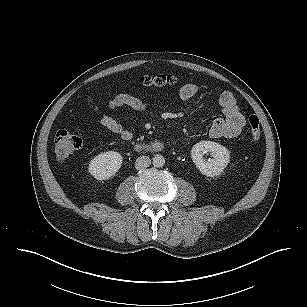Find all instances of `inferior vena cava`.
I'll return each instance as SVG.
<instances>
[{"mask_svg": "<svg viewBox=\"0 0 307 307\" xmlns=\"http://www.w3.org/2000/svg\"><path fill=\"white\" fill-rule=\"evenodd\" d=\"M151 164V160L148 156H140L136 159L135 168L137 170H142L149 167Z\"/></svg>", "mask_w": 307, "mask_h": 307, "instance_id": "inferior-vena-cava-1", "label": "inferior vena cava"}]
</instances>
